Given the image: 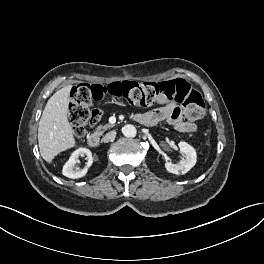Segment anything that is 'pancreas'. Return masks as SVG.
<instances>
[{
  "label": "pancreas",
  "mask_w": 264,
  "mask_h": 264,
  "mask_svg": "<svg viewBox=\"0 0 264 264\" xmlns=\"http://www.w3.org/2000/svg\"><path fill=\"white\" fill-rule=\"evenodd\" d=\"M111 127H113L112 124L99 125L97 127V133L102 134L105 130H107L108 128H111Z\"/></svg>",
  "instance_id": "pancreas-1"
}]
</instances>
